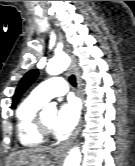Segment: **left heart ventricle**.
Wrapping results in <instances>:
<instances>
[{
    "instance_id": "b2bd125f",
    "label": "left heart ventricle",
    "mask_w": 135,
    "mask_h": 166,
    "mask_svg": "<svg viewBox=\"0 0 135 166\" xmlns=\"http://www.w3.org/2000/svg\"><path fill=\"white\" fill-rule=\"evenodd\" d=\"M56 114L55 113H43L42 114V119L44 124L52 129L53 127V122L55 120Z\"/></svg>"
}]
</instances>
